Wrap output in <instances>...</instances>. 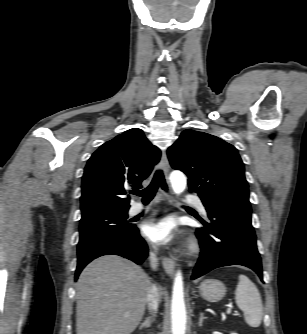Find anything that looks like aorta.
Instances as JSON below:
<instances>
[{"instance_id": "762f6f07", "label": "aorta", "mask_w": 307, "mask_h": 334, "mask_svg": "<svg viewBox=\"0 0 307 334\" xmlns=\"http://www.w3.org/2000/svg\"><path fill=\"white\" fill-rule=\"evenodd\" d=\"M172 189L176 194L182 193L186 188V177L180 171L170 174ZM171 332L172 334H185L186 332V307L184 302L183 278L180 271L174 279L171 301Z\"/></svg>"}]
</instances>
